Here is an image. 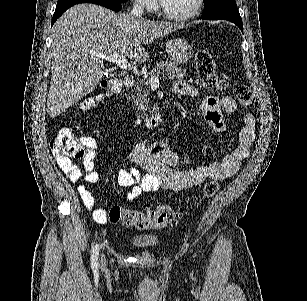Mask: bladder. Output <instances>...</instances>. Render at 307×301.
Here are the masks:
<instances>
[{"label": "bladder", "mask_w": 307, "mask_h": 301, "mask_svg": "<svg viewBox=\"0 0 307 301\" xmlns=\"http://www.w3.org/2000/svg\"><path fill=\"white\" fill-rule=\"evenodd\" d=\"M159 236H143V235H133L131 243L136 245L139 250H144L158 243Z\"/></svg>", "instance_id": "bladder-1"}]
</instances>
